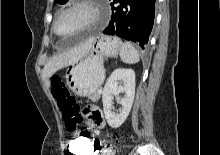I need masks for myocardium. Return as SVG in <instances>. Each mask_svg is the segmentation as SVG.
I'll list each match as a JSON object with an SVG mask.
<instances>
[{"mask_svg":"<svg viewBox=\"0 0 220 155\" xmlns=\"http://www.w3.org/2000/svg\"><path fill=\"white\" fill-rule=\"evenodd\" d=\"M78 9H85L88 12L89 16L82 27L79 28L76 32L70 34V36L83 33L94 27L102 20L104 15V8L101 0H72L68 5L61 8L54 17V20L52 22V31L55 35L60 36L56 31V23L59 17L65 13Z\"/></svg>","mask_w":220,"mask_h":155,"instance_id":"obj_1","label":"myocardium"}]
</instances>
